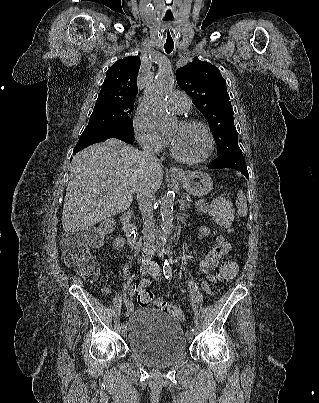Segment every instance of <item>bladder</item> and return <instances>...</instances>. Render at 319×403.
<instances>
[{"label": "bladder", "mask_w": 319, "mask_h": 403, "mask_svg": "<svg viewBox=\"0 0 319 403\" xmlns=\"http://www.w3.org/2000/svg\"><path fill=\"white\" fill-rule=\"evenodd\" d=\"M131 354L152 368H168L187 354L186 334L166 313L140 308L133 311L126 328Z\"/></svg>", "instance_id": "31cf9c89"}]
</instances>
